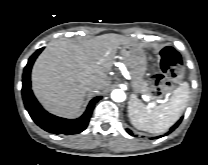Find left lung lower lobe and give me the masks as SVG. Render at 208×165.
Returning a JSON list of instances; mask_svg holds the SVG:
<instances>
[{
    "mask_svg": "<svg viewBox=\"0 0 208 165\" xmlns=\"http://www.w3.org/2000/svg\"><path fill=\"white\" fill-rule=\"evenodd\" d=\"M181 121H182V118H181L174 126H172V127L170 128V130H169L168 133H170V132H172L174 129H176V128L178 127V125L181 123ZM127 132H128L129 134H132V132H131L130 130H128V129H127Z\"/></svg>",
    "mask_w": 208,
    "mask_h": 165,
    "instance_id": "obj_1",
    "label": "left lung lower lobe"
}]
</instances>
